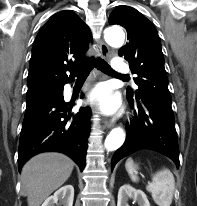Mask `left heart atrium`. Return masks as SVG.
<instances>
[{
    "label": "left heart atrium",
    "mask_w": 197,
    "mask_h": 206,
    "mask_svg": "<svg viewBox=\"0 0 197 206\" xmlns=\"http://www.w3.org/2000/svg\"><path fill=\"white\" fill-rule=\"evenodd\" d=\"M93 97L99 101L102 108L107 112L113 111L116 107V102L112 99L108 90L104 86H99L94 91Z\"/></svg>",
    "instance_id": "left-heart-atrium-1"
}]
</instances>
